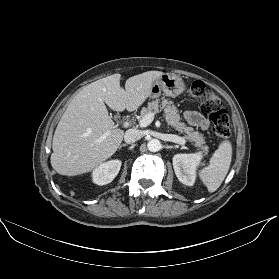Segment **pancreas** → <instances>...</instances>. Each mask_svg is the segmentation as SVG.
<instances>
[{
    "mask_svg": "<svg viewBox=\"0 0 279 279\" xmlns=\"http://www.w3.org/2000/svg\"><path fill=\"white\" fill-rule=\"evenodd\" d=\"M162 110H164L165 120L167 121L168 125L180 133H186V138L188 140L195 142V144L200 147L204 154L208 153L209 148L205 145L204 136L181 122L182 118L180 117L179 110L172 101L162 98L161 101L155 100L149 102L148 106L141 110L140 117L142 119L148 113H159Z\"/></svg>",
    "mask_w": 279,
    "mask_h": 279,
    "instance_id": "1",
    "label": "pancreas"
}]
</instances>
